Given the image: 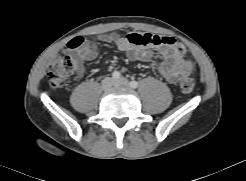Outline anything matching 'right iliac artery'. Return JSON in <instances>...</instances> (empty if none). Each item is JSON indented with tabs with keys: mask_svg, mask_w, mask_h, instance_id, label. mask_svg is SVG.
Listing matches in <instances>:
<instances>
[{
	"mask_svg": "<svg viewBox=\"0 0 246 181\" xmlns=\"http://www.w3.org/2000/svg\"><path fill=\"white\" fill-rule=\"evenodd\" d=\"M112 77H113L114 79H119V78L121 77V74H120V72H118V71H114V72L112 73Z\"/></svg>",
	"mask_w": 246,
	"mask_h": 181,
	"instance_id": "82829eb1",
	"label": "right iliac artery"
}]
</instances>
